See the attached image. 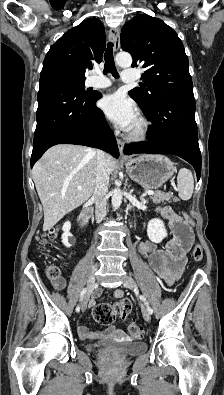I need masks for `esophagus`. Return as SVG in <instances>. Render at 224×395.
Segmentation results:
<instances>
[{"instance_id":"34e87169","label":"esophagus","mask_w":224,"mask_h":395,"mask_svg":"<svg viewBox=\"0 0 224 395\" xmlns=\"http://www.w3.org/2000/svg\"><path fill=\"white\" fill-rule=\"evenodd\" d=\"M110 37L112 39V43H113V50L116 52L118 51L119 47H120V28L116 27L110 30ZM117 145L120 151V156L123 158L124 157V143L117 138Z\"/></svg>"}]
</instances>
